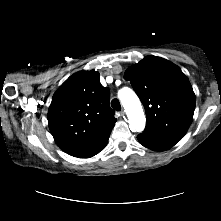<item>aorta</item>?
<instances>
[{"mask_svg":"<svg viewBox=\"0 0 221 221\" xmlns=\"http://www.w3.org/2000/svg\"><path fill=\"white\" fill-rule=\"evenodd\" d=\"M118 96L125 108L130 129L133 132H142L145 128L146 118L137 95L130 88H123Z\"/></svg>","mask_w":221,"mask_h":221,"instance_id":"762f6f07","label":"aorta"}]
</instances>
